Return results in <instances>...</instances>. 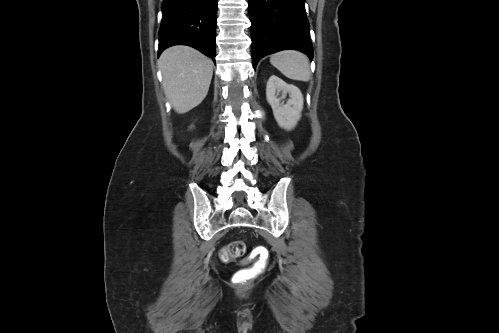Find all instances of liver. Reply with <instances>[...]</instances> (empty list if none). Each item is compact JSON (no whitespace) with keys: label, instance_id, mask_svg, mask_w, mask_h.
Returning <instances> with one entry per match:
<instances>
[{"label":"liver","instance_id":"obj_1","mask_svg":"<svg viewBox=\"0 0 499 333\" xmlns=\"http://www.w3.org/2000/svg\"><path fill=\"white\" fill-rule=\"evenodd\" d=\"M163 89L177 113H186L206 97L213 75V62L184 45L166 49L158 61Z\"/></svg>","mask_w":499,"mask_h":333}]
</instances>
